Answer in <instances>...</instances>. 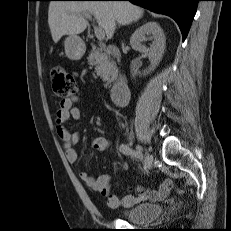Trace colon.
Masks as SVG:
<instances>
[{
	"label": "colon",
	"mask_w": 231,
	"mask_h": 231,
	"mask_svg": "<svg viewBox=\"0 0 231 231\" xmlns=\"http://www.w3.org/2000/svg\"><path fill=\"white\" fill-rule=\"evenodd\" d=\"M51 80L53 92L57 97L68 99L76 94V81L65 68L61 66L53 67L51 69Z\"/></svg>",
	"instance_id": "1"
}]
</instances>
